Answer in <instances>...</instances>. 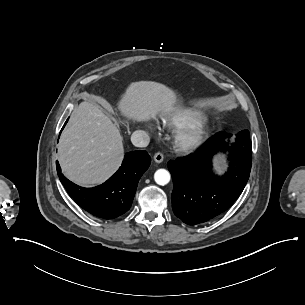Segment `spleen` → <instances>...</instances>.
I'll use <instances>...</instances> for the list:
<instances>
[{
    "label": "spleen",
    "instance_id": "1",
    "mask_svg": "<svg viewBox=\"0 0 305 305\" xmlns=\"http://www.w3.org/2000/svg\"><path fill=\"white\" fill-rule=\"evenodd\" d=\"M221 163H222V158L216 157V158L214 159V168H215V170H216L218 173H221V172H222Z\"/></svg>",
    "mask_w": 305,
    "mask_h": 305
}]
</instances>
